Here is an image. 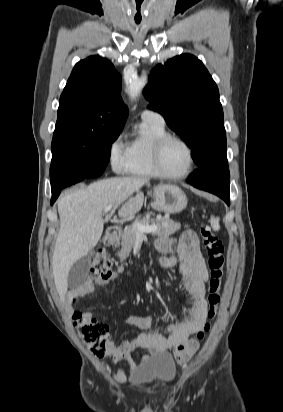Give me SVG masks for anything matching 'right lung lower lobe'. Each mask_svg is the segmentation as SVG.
Listing matches in <instances>:
<instances>
[{
	"mask_svg": "<svg viewBox=\"0 0 283 412\" xmlns=\"http://www.w3.org/2000/svg\"><path fill=\"white\" fill-rule=\"evenodd\" d=\"M105 169V166H97L94 168H90L84 172L76 173V174H64V175H57L51 179V189H52V199L51 204L55 202L57 197L59 196L61 190L67 186L75 184L77 182L82 181L85 178L90 177H97L99 176Z\"/></svg>",
	"mask_w": 283,
	"mask_h": 412,
	"instance_id": "98d812e1",
	"label": "right lung lower lobe"
}]
</instances>
